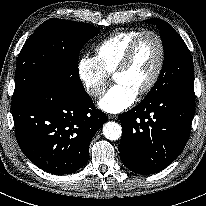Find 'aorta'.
<instances>
[{
  "label": "aorta",
  "instance_id": "aorta-1",
  "mask_svg": "<svg viewBox=\"0 0 206 206\" xmlns=\"http://www.w3.org/2000/svg\"><path fill=\"white\" fill-rule=\"evenodd\" d=\"M104 136L111 141L118 140L122 135V127L120 124L110 121L103 126Z\"/></svg>",
  "mask_w": 206,
  "mask_h": 206
}]
</instances>
